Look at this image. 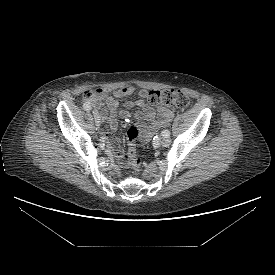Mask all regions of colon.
<instances>
[{
	"label": "colon",
	"mask_w": 275,
	"mask_h": 275,
	"mask_svg": "<svg viewBox=\"0 0 275 275\" xmlns=\"http://www.w3.org/2000/svg\"><path fill=\"white\" fill-rule=\"evenodd\" d=\"M96 95L95 90H87L84 92L83 97L86 101L91 102ZM147 100L151 105H165L180 109H185L190 105L189 96L184 91L176 89L152 90L148 93ZM138 135L139 129L136 126L130 127L127 131L129 141L127 162L136 172L139 171L141 166V159L137 156L134 148V141Z\"/></svg>",
	"instance_id": "5ec220e1"
}]
</instances>
